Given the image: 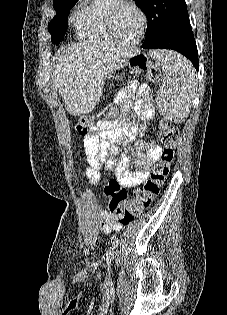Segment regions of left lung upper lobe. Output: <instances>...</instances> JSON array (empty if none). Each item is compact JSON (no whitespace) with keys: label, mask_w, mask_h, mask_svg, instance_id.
Wrapping results in <instances>:
<instances>
[{"label":"left lung upper lobe","mask_w":227,"mask_h":315,"mask_svg":"<svg viewBox=\"0 0 227 315\" xmlns=\"http://www.w3.org/2000/svg\"><path fill=\"white\" fill-rule=\"evenodd\" d=\"M148 18L145 41L157 37L164 30L189 20L185 0H135Z\"/></svg>","instance_id":"obj_1"}]
</instances>
